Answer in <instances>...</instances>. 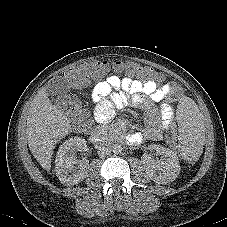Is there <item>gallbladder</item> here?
Listing matches in <instances>:
<instances>
[{"label":"gallbladder","mask_w":227,"mask_h":227,"mask_svg":"<svg viewBox=\"0 0 227 227\" xmlns=\"http://www.w3.org/2000/svg\"><path fill=\"white\" fill-rule=\"evenodd\" d=\"M49 93L60 97L62 100L69 98V86L61 77H54L48 84Z\"/></svg>","instance_id":"bac80fb5"}]
</instances>
